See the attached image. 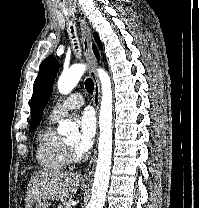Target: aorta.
Segmentation results:
<instances>
[{
    "instance_id": "obj_1",
    "label": "aorta",
    "mask_w": 199,
    "mask_h": 208,
    "mask_svg": "<svg viewBox=\"0 0 199 208\" xmlns=\"http://www.w3.org/2000/svg\"><path fill=\"white\" fill-rule=\"evenodd\" d=\"M85 71V64H75L68 70L63 71L57 83L59 92L64 95L69 94L78 84ZM97 71L102 89L99 116L100 135L98 143V160L89 208L104 207L112 160V85L110 77L104 69L99 68ZM77 131L78 127L70 119L62 121L58 127V133L61 135H69L71 133H76Z\"/></svg>"
}]
</instances>
